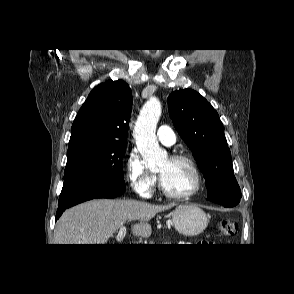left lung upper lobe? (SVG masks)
Masks as SVG:
<instances>
[{"label": "left lung upper lobe", "mask_w": 294, "mask_h": 294, "mask_svg": "<svg viewBox=\"0 0 294 294\" xmlns=\"http://www.w3.org/2000/svg\"><path fill=\"white\" fill-rule=\"evenodd\" d=\"M167 102L175 128L191 149L206 179L208 198H241L217 111L192 89L171 93Z\"/></svg>", "instance_id": "left-lung-upper-lobe-1"}]
</instances>
